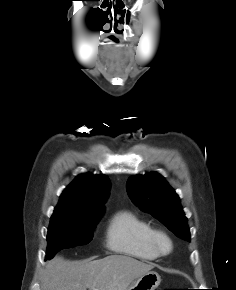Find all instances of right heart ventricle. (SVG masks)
<instances>
[{"mask_svg": "<svg viewBox=\"0 0 236 290\" xmlns=\"http://www.w3.org/2000/svg\"><path fill=\"white\" fill-rule=\"evenodd\" d=\"M153 227L130 210L116 212L110 219L105 242L109 250L143 261L159 258L152 245Z\"/></svg>", "mask_w": 236, "mask_h": 290, "instance_id": "e07e8e85", "label": "right heart ventricle"}]
</instances>
